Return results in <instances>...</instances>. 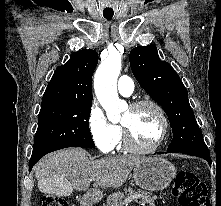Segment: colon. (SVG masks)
<instances>
[{
  "label": "colon",
  "mask_w": 221,
  "mask_h": 206,
  "mask_svg": "<svg viewBox=\"0 0 221 206\" xmlns=\"http://www.w3.org/2000/svg\"><path fill=\"white\" fill-rule=\"evenodd\" d=\"M174 192L181 206H209L207 188L201 179L191 171L182 170L176 175ZM42 206H68L64 198L55 194H46L42 198Z\"/></svg>",
  "instance_id": "1"
}]
</instances>
